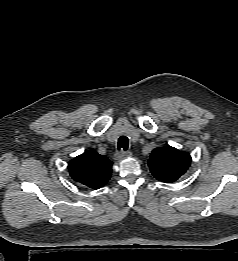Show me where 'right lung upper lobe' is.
Here are the masks:
<instances>
[{
	"label": "right lung upper lobe",
	"mask_w": 238,
	"mask_h": 261,
	"mask_svg": "<svg viewBox=\"0 0 238 261\" xmlns=\"http://www.w3.org/2000/svg\"><path fill=\"white\" fill-rule=\"evenodd\" d=\"M112 162L95 151L88 150L69 161L68 169L74 181L99 189L111 176Z\"/></svg>",
	"instance_id": "obj_1"
}]
</instances>
